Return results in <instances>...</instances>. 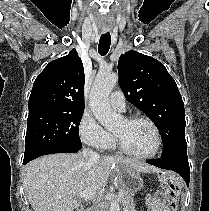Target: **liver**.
I'll use <instances>...</instances> for the list:
<instances>
[{
	"label": "liver",
	"mask_w": 209,
	"mask_h": 211,
	"mask_svg": "<svg viewBox=\"0 0 209 211\" xmlns=\"http://www.w3.org/2000/svg\"><path fill=\"white\" fill-rule=\"evenodd\" d=\"M126 166L137 173L159 172L158 168L127 158L106 156L94 162L78 154H51L29 162L23 169V185L34 211H74L85 190L99 191L112 170Z\"/></svg>",
	"instance_id": "6515ba94"
}]
</instances>
